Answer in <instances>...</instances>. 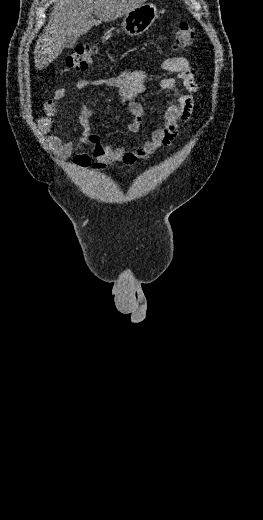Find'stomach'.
Segmentation results:
<instances>
[{
    "label": "stomach",
    "instance_id": "1",
    "mask_svg": "<svg viewBox=\"0 0 263 520\" xmlns=\"http://www.w3.org/2000/svg\"><path fill=\"white\" fill-rule=\"evenodd\" d=\"M157 17L156 5L143 3L124 15L122 28L129 36H139L149 29Z\"/></svg>",
    "mask_w": 263,
    "mask_h": 520
}]
</instances>
